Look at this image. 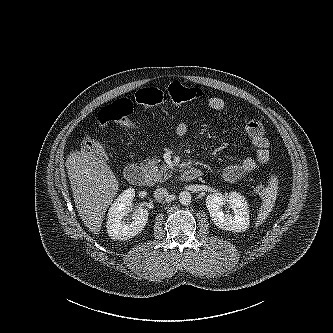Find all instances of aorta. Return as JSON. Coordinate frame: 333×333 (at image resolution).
<instances>
[{
	"label": "aorta",
	"instance_id": "obj_1",
	"mask_svg": "<svg viewBox=\"0 0 333 333\" xmlns=\"http://www.w3.org/2000/svg\"><path fill=\"white\" fill-rule=\"evenodd\" d=\"M178 199L182 205H189L191 203L192 196L190 192L182 191L179 193Z\"/></svg>",
	"mask_w": 333,
	"mask_h": 333
}]
</instances>
